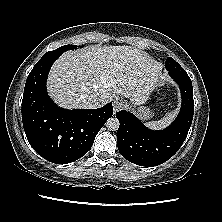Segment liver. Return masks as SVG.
Segmentation results:
<instances>
[{
	"label": "liver",
	"instance_id": "6515ba94",
	"mask_svg": "<svg viewBox=\"0 0 222 222\" xmlns=\"http://www.w3.org/2000/svg\"><path fill=\"white\" fill-rule=\"evenodd\" d=\"M161 65L131 46H91L63 53L51 68L47 87L63 108H85L87 95L101 106L116 94L143 104L158 83Z\"/></svg>",
	"mask_w": 222,
	"mask_h": 222
}]
</instances>
